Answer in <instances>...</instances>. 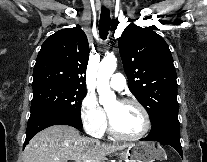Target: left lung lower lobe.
<instances>
[{
	"mask_svg": "<svg viewBox=\"0 0 207 162\" xmlns=\"http://www.w3.org/2000/svg\"><path fill=\"white\" fill-rule=\"evenodd\" d=\"M141 140L158 141L163 145H170L182 157L178 113H168L160 116L152 123L150 134Z\"/></svg>",
	"mask_w": 207,
	"mask_h": 162,
	"instance_id": "left-lung-lower-lobe-1",
	"label": "left lung lower lobe"
}]
</instances>
